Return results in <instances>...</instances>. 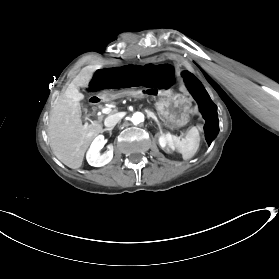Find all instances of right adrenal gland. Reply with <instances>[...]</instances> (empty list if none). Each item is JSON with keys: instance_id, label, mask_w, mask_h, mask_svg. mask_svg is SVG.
I'll use <instances>...</instances> for the list:
<instances>
[{"instance_id": "obj_1", "label": "right adrenal gland", "mask_w": 279, "mask_h": 279, "mask_svg": "<svg viewBox=\"0 0 279 279\" xmlns=\"http://www.w3.org/2000/svg\"><path fill=\"white\" fill-rule=\"evenodd\" d=\"M112 130V128H106V129H103V131L102 132H105V131H111Z\"/></svg>"}]
</instances>
